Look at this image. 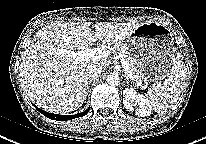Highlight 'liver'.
Returning <instances> with one entry per match:
<instances>
[{
  "label": "liver",
  "instance_id": "obj_1",
  "mask_svg": "<svg viewBox=\"0 0 206 144\" xmlns=\"http://www.w3.org/2000/svg\"><path fill=\"white\" fill-rule=\"evenodd\" d=\"M139 26L135 23L57 22L39 30L27 47L20 64L22 86L36 105L48 112L67 114L77 110L86 99V72L91 66L106 68L110 60L76 62L62 49H83L96 41L117 44Z\"/></svg>",
  "mask_w": 206,
  "mask_h": 144
}]
</instances>
